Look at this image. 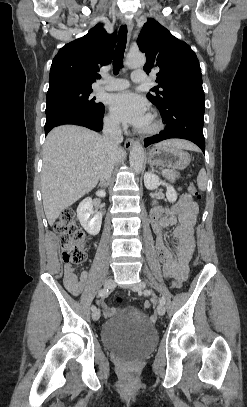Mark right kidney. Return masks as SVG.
<instances>
[{"label":"right kidney","mask_w":247,"mask_h":407,"mask_svg":"<svg viewBox=\"0 0 247 407\" xmlns=\"http://www.w3.org/2000/svg\"><path fill=\"white\" fill-rule=\"evenodd\" d=\"M99 197H105V191H98L96 193ZM77 217L85 229L90 235H97L101 229L102 213L94 211L92 198H85L80 202L77 208Z\"/></svg>","instance_id":"obj_1"}]
</instances>
